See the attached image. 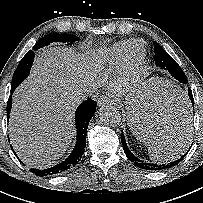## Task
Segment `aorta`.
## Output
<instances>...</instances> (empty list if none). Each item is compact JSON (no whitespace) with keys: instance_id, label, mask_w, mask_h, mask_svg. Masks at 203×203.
<instances>
[{"instance_id":"762f6f07","label":"aorta","mask_w":203,"mask_h":203,"mask_svg":"<svg viewBox=\"0 0 203 203\" xmlns=\"http://www.w3.org/2000/svg\"><path fill=\"white\" fill-rule=\"evenodd\" d=\"M99 117L101 121L107 125H117L121 121V116L116 107L112 105H105L99 110Z\"/></svg>"}]
</instances>
